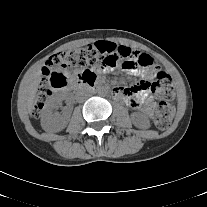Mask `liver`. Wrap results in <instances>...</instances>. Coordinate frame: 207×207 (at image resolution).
<instances>
[{
    "instance_id": "6515ba94",
    "label": "liver",
    "mask_w": 207,
    "mask_h": 207,
    "mask_svg": "<svg viewBox=\"0 0 207 207\" xmlns=\"http://www.w3.org/2000/svg\"><path fill=\"white\" fill-rule=\"evenodd\" d=\"M42 72L38 68L34 70L25 80L22 96L23 100L25 101L26 107L31 111L33 109L36 94L38 91L39 84L41 82Z\"/></svg>"
}]
</instances>
